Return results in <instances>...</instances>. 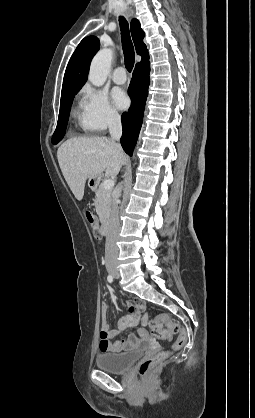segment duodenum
Returning a JSON list of instances; mask_svg holds the SVG:
<instances>
[{"instance_id":"duodenum-1","label":"duodenum","mask_w":255,"mask_h":418,"mask_svg":"<svg viewBox=\"0 0 255 418\" xmlns=\"http://www.w3.org/2000/svg\"><path fill=\"white\" fill-rule=\"evenodd\" d=\"M109 224L107 219H103L100 223L99 234L104 237L108 234Z\"/></svg>"}]
</instances>
